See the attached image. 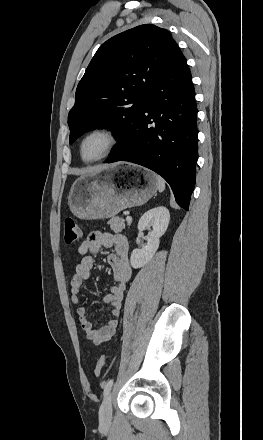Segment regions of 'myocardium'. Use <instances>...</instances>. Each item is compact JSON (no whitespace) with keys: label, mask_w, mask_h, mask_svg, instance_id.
I'll use <instances>...</instances> for the list:
<instances>
[{"label":"myocardium","mask_w":263,"mask_h":440,"mask_svg":"<svg viewBox=\"0 0 263 440\" xmlns=\"http://www.w3.org/2000/svg\"><path fill=\"white\" fill-rule=\"evenodd\" d=\"M94 134L103 135L107 139V146H106L104 152L101 155H99L98 157L93 158V159H86V158H84L83 152H82L83 144L88 137H90L91 135H94ZM118 140H119L118 136L112 128H110L108 126L92 127L89 130H87L79 139V142H78L79 158L81 159L82 162L88 163V164L101 161V160L107 158L114 151V149L116 148V146L118 144Z\"/></svg>","instance_id":"obj_1"}]
</instances>
